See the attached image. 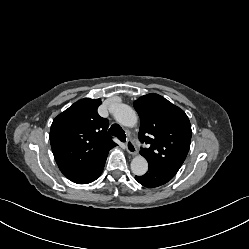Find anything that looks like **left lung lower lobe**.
Wrapping results in <instances>:
<instances>
[{
    "label": "left lung lower lobe",
    "mask_w": 249,
    "mask_h": 249,
    "mask_svg": "<svg viewBox=\"0 0 249 249\" xmlns=\"http://www.w3.org/2000/svg\"><path fill=\"white\" fill-rule=\"evenodd\" d=\"M174 175L157 170L149 166V170L143 176H135L137 182L148 188L161 186L170 181Z\"/></svg>",
    "instance_id": "1"
}]
</instances>
